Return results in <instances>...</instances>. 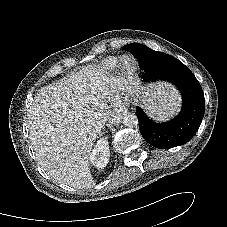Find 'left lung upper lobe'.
Wrapping results in <instances>:
<instances>
[{
  "label": "left lung upper lobe",
  "mask_w": 227,
  "mask_h": 227,
  "mask_svg": "<svg viewBox=\"0 0 227 227\" xmlns=\"http://www.w3.org/2000/svg\"><path fill=\"white\" fill-rule=\"evenodd\" d=\"M137 46H138L137 43H133V44H129V45L124 46V48L131 52V49L134 48V47H137ZM161 54H162L161 58L159 60H157V62H156L158 65H168V64H173V63H176V62L179 61L175 57H172L168 54H165V53H162V52H161Z\"/></svg>",
  "instance_id": "obj_1"
}]
</instances>
